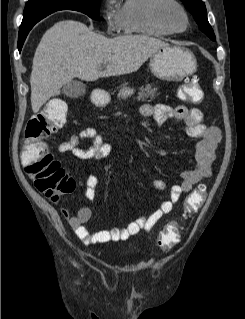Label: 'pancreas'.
<instances>
[{
  "instance_id": "1",
  "label": "pancreas",
  "mask_w": 245,
  "mask_h": 319,
  "mask_svg": "<svg viewBox=\"0 0 245 319\" xmlns=\"http://www.w3.org/2000/svg\"><path fill=\"white\" fill-rule=\"evenodd\" d=\"M157 90L158 89L156 87L152 88V86L150 84L146 85L145 87L142 86L139 89V92H138V95H137V99L138 100H145L147 98H150L151 100H153V99H155L156 96L159 95Z\"/></svg>"
}]
</instances>
